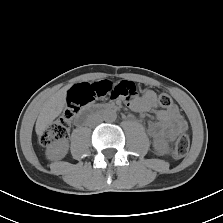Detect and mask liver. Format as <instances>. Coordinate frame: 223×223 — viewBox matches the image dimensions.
Wrapping results in <instances>:
<instances>
[{
    "label": "liver",
    "instance_id": "6515ba94",
    "mask_svg": "<svg viewBox=\"0 0 223 223\" xmlns=\"http://www.w3.org/2000/svg\"><path fill=\"white\" fill-rule=\"evenodd\" d=\"M68 89L69 86L63 87L43 104L35 126L37 135H43L44 131L52 124L53 120L61 114L66 104Z\"/></svg>",
    "mask_w": 223,
    "mask_h": 223
}]
</instances>
